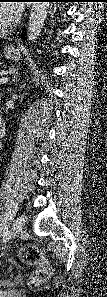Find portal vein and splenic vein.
Wrapping results in <instances>:
<instances>
[{
	"mask_svg": "<svg viewBox=\"0 0 107 297\" xmlns=\"http://www.w3.org/2000/svg\"><path fill=\"white\" fill-rule=\"evenodd\" d=\"M8 82V77H1L0 78V83L1 84H6Z\"/></svg>",
	"mask_w": 107,
	"mask_h": 297,
	"instance_id": "1",
	"label": "portal vein and splenic vein"
}]
</instances>
